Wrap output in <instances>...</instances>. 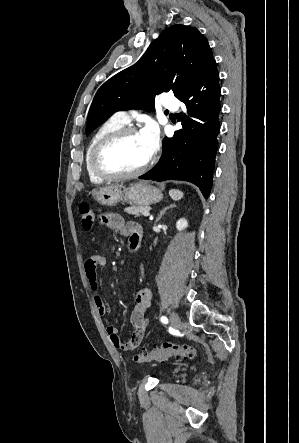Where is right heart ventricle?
I'll use <instances>...</instances> for the list:
<instances>
[{"label":"right heart ventricle","mask_w":299,"mask_h":443,"mask_svg":"<svg viewBox=\"0 0 299 443\" xmlns=\"http://www.w3.org/2000/svg\"><path fill=\"white\" fill-rule=\"evenodd\" d=\"M123 126H124L123 124L117 122L115 119L110 118L109 120L102 123L98 127V129L94 132L92 137L90 138V140L87 144V147H86V151H85V168H86L89 180L92 183H101L104 180L94 173L92 166H91V156H92V152H93L94 147L106 135H108L109 133H111L117 129L122 128Z\"/></svg>","instance_id":"e07e8e85"}]
</instances>
